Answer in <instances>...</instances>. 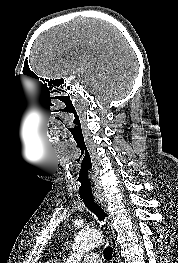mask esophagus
<instances>
[{"label":"esophagus","instance_id":"1","mask_svg":"<svg viewBox=\"0 0 178 263\" xmlns=\"http://www.w3.org/2000/svg\"><path fill=\"white\" fill-rule=\"evenodd\" d=\"M95 200L103 208V210L105 211L107 215V225H108L109 233H110V243L115 249V253L113 254V257H112V263H117L118 258H117V244L115 240L116 236H115V231H114L113 224H112V217L108 209V203L106 199L104 198V196L102 195L96 196Z\"/></svg>","mask_w":178,"mask_h":263}]
</instances>
